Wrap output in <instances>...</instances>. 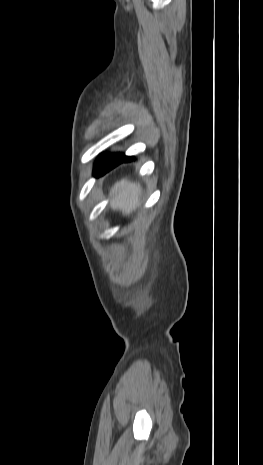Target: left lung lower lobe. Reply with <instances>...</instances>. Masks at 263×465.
I'll list each match as a JSON object with an SVG mask.
<instances>
[{
  "instance_id": "obj_1",
  "label": "left lung lower lobe",
  "mask_w": 263,
  "mask_h": 465,
  "mask_svg": "<svg viewBox=\"0 0 263 465\" xmlns=\"http://www.w3.org/2000/svg\"><path fill=\"white\" fill-rule=\"evenodd\" d=\"M133 156H125L122 153L119 154H107L104 153L99 156L95 163L94 175L100 176L107 171L111 170L121 162H127L133 160Z\"/></svg>"
}]
</instances>
